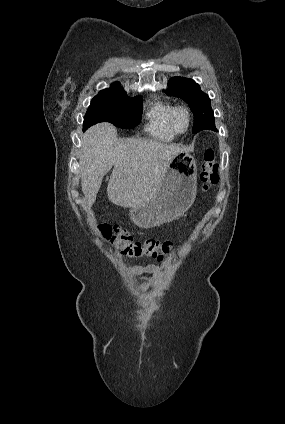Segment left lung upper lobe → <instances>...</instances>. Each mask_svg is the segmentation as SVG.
<instances>
[{"instance_id": "obj_1", "label": "left lung upper lobe", "mask_w": 285, "mask_h": 424, "mask_svg": "<svg viewBox=\"0 0 285 424\" xmlns=\"http://www.w3.org/2000/svg\"><path fill=\"white\" fill-rule=\"evenodd\" d=\"M168 95L183 99L194 114L193 133L201 130H216L214 113L209 96L202 92L200 86L192 79L173 77L168 82Z\"/></svg>"}]
</instances>
